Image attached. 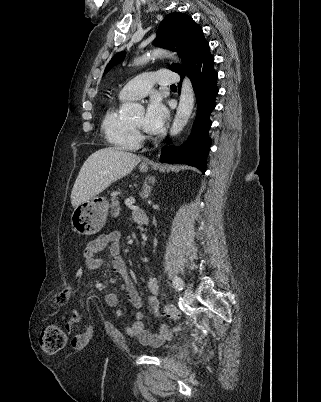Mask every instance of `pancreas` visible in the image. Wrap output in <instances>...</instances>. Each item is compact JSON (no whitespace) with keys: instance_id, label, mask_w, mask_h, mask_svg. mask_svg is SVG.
<instances>
[{"instance_id":"obj_1","label":"pancreas","mask_w":321,"mask_h":402,"mask_svg":"<svg viewBox=\"0 0 321 402\" xmlns=\"http://www.w3.org/2000/svg\"><path fill=\"white\" fill-rule=\"evenodd\" d=\"M110 208H111L110 215H111L112 217H117V216H119L120 211H121V207H120V205H119V201H118V199L116 198V196H113V197H112V199H111V204H110Z\"/></svg>"}]
</instances>
